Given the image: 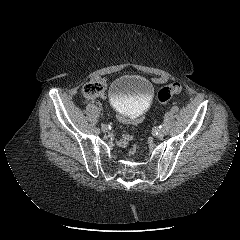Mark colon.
<instances>
[{"label":"colon","instance_id":"colon-1","mask_svg":"<svg viewBox=\"0 0 240 240\" xmlns=\"http://www.w3.org/2000/svg\"><path fill=\"white\" fill-rule=\"evenodd\" d=\"M105 91V84L102 80H92L84 86V94L89 98L101 97V94ZM182 91V85L180 83H172L164 86L158 91L157 99L161 104L168 102L171 97Z\"/></svg>","mask_w":240,"mask_h":240}]
</instances>
